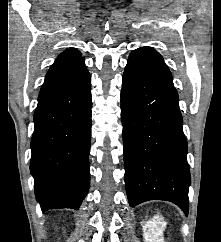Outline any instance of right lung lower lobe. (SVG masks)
Here are the masks:
<instances>
[{
  "mask_svg": "<svg viewBox=\"0 0 221 242\" xmlns=\"http://www.w3.org/2000/svg\"><path fill=\"white\" fill-rule=\"evenodd\" d=\"M91 107L87 70L40 90L30 171L42 211L78 209L88 193Z\"/></svg>",
  "mask_w": 221,
  "mask_h": 242,
  "instance_id": "98d812e1",
  "label": "right lung lower lobe"
}]
</instances>
